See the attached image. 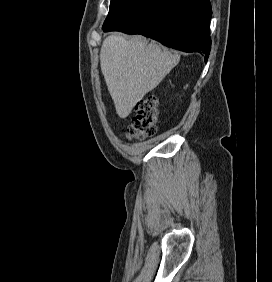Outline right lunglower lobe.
Listing matches in <instances>:
<instances>
[{
    "instance_id": "1",
    "label": "right lung lower lobe",
    "mask_w": 272,
    "mask_h": 282,
    "mask_svg": "<svg viewBox=\"0 0 272 282\" xmlns=\"http://www.w3.org/2000/svg\"><path fill=\"white\" fill-rule=\"evenodd\" d=\"M211 15L209 0H137L103 31L142 34L167 47L199 52L207 60Z\"/></svg>"
}]
</instances>
